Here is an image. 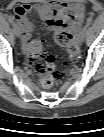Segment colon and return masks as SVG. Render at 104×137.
<instances>
[{"mask_svg":"<svg viewBox=\"0 0 104 137\" xmlns=\"http://www.w3.org/2000/svg\"><path fill=\"white\" fill-rule=\"evenodd\" d=\"M56 42L66 49L69 61H75L79 48L69 30L65 28L54 29ZM28 61L40 77V84L48 89L60 78L55 70L54 59L43 51L42 42L38 39L29 42Z\"/></svg>","mask_w":104,"mask_h":137,"instance_id":"5ec220e1","label":"colon"}]
</instances>
